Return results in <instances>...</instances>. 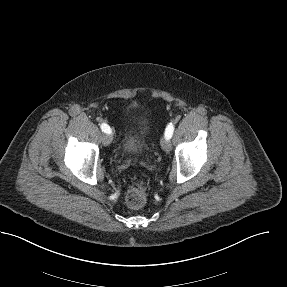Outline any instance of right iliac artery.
Listing matches in <instances>:
<instances>
[{"mask_svg":"<svg viewBox=\"0 0 287 287\" xmlns=\"http://www.w3.org/2000/svg\"><path fill=\"white\" fill-rule=\"evenodd\" d=\"M100 128L104 133H108V134L111 133V129H110L109 125H107L106 123H102L100 125Z\"/></svg>","mask_w":287,"mask_h":287,"instance_id":"right-iliac-artery-1","label":"right iliac artery"}]
</instances>
